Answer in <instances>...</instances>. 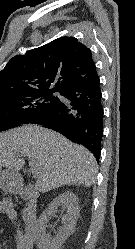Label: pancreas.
I'll return each mask as SVG.
<instances>
[{
    "label": "pancreas",
    "mask_w": 135,
    "mask_h": 249,
    "mask_svg": "<svg viewBox=\"0 0 135 249\" xmlns=\"http://www.w3.org/2000/svg\"><path fill=\"white\" fill-rule=\"evenodd\" d=\"M26 213H27V208H25V209L23 210V218H24V220H26Z\"/></svg>",
    "instance_id": "cf45deb5"
}]
</instances>
